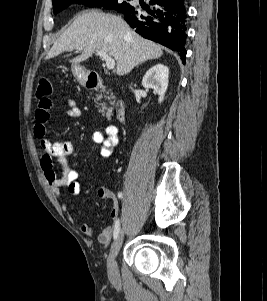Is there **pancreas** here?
Wrapping results in <instances>:
<instances>
[{"instance_id": "1", "label": "pancreas", "mask_w": 267, "mask_h": 301, "mask_svg": "<svg viewBox=\"0 0 267 301\" xmlns=\"http://www.w3.org/2000/svg\"><path fill=\"white\" fill-rule=\"evenodd\" d=\"M98 97L101 98L102 97V93H100L98 95ZM113 99H114V95L113 94H110L109 96H105V100H113ZM111 103L114 104V102H111ZM99 105L101 106L100 112H102V113L105 114V112L107 111L106 112V116L110 117L111 108L107 107L105 102L100 103Z\"/></svg>"}]
</instances>
